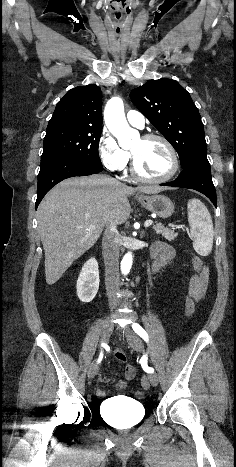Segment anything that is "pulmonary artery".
Returning a JSON list of instances; mask_svg holds the SVG:
<instances>
[{
	"label": "pulmonary artery",
	"instance_id": "obj_1",
	"mask_svg": "<svg viewBox=\"0 0 236 467\" xmlns=\"http://www.w3.org/2000/svg\"><path fill=\"white\" fill-rule=\"evenodd\" d=\"M127 120L131 125L140 129L143 128L145 124L144 116L136 110H130L127 112Z\"/></svg>",
	"mask_w": 236,
	"mask_h": 467
}]
</instances>
